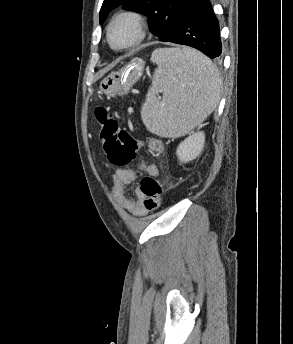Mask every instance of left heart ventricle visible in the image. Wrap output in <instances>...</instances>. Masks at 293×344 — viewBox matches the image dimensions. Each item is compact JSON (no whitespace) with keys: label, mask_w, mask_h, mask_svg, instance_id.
Returning a JSON list of instances; mask_svg holds the SVG:
<instances>
[{"label":"left heart ventricle","mask_w":293,"mask_h":344,"mask_svg":"<svg viewBox=\"0 0 293 344\" xmlns=\"http://www.w3.org/2000/svg\"><path fill=\"white\" fill-rule=\"evenodd\" d=\"M135 35V29L129 21L117 23L111 32L112 41L117 46L130 43L135 38Z\"/></svg>","instance_id":"left-heart-ventricle-1"}]
</instances>
